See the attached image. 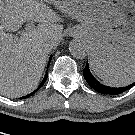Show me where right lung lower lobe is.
<instances>
[{
	"mask_svg": "<svg viewBox=\"0 0 135 135\" xmlns=\"http://www.w3.org/2000/svg\"><path fill=\"white\" fill-rule=\"evenodd\" d=\"M51 58H52V56L50 57V60H51ZM48 65H49V63H48ZM47 76H48V74L46 72L45 77H44L43 81L41 82L40 86L34 92L28 94L27 96L21 97L20 99H25V98L31 96L32 94H34L45 83Z\"/></svg>",
	"mask_w": 135,
	"mask_h": 135,
	"instance_id": "obj_1",
	"label": "right lung lower lobe"
}]
</instances>
